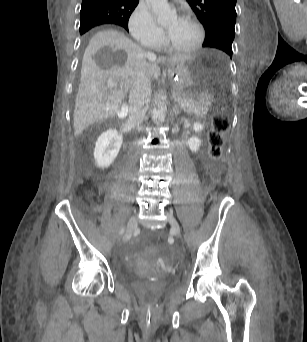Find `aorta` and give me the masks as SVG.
<instances>
[{
  "label": "aorta",
  "instance_id": "aorta-1",
  "mask_svg": "<svg viewBox=\"0 0 307 342\" xmlns=\"http://www.w3.org/2000/svg\"><path fill=\"white\" fill-rule=\"evenodd\" d=\"M151 6V12L156 16L160 26H168L177 20V12L174 8H170L168 0H147ZM167 114V106L164 96H158L154 100V108L152 118L155 124L164 122Z\"/></svg>",
  "mask_w": 307,
  "mask_h": 342
}]
</instances>
